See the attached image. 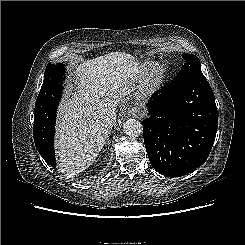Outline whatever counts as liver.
Returning <instances> with one entry per match:
<instances>
[{"label":"liver","mask_w":245,"mask_h":245,"mask_svg":"<svg viewBox=\"0 0 245 245\" xmlns=\"http://www.w3.org/2000/svg\"><path fill=\"white\" fill-rule=\"evenodd\" d=\"M136 70L134 56L125 52H111L75 66L76 86L64 96L57 124L56 148L63 172L78 174L96 159L109 132L96 107L101 98L117 102Z\"/></svg>","instance_id":"obj_1"}]
</instances>
